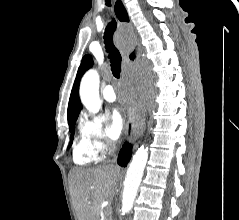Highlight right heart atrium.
I'll return each instance as SVG.
<instances>
[{
    "label": "right heart atrium",
    "instance_id": "right-heart-atrium-1",
    "mask_svg": "<svg viewBox=\"0 0 239 220\" xmlns=\"http://www.w3.org/2000/svg\"><path fill=\"white\" fill-rule=\"evenodd\" d=\"M80 132L98 158L112 150L113 143L106 136L103 117L84 115L80 123Z\"/></svg>",
    "mask_w": 239,
    "mask_h": 220
}]
</instances>
